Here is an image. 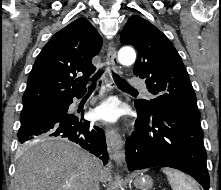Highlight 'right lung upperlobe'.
Returning <instances> with one entry per match:
<instances>
[{
    "mask_svg": "<svg viewBox=\"0 0 221 190\" xmlns=\"http://www.w3.org/2000/svg\"><path fill=\"white\" fill-rule=\"evenodd\" d=\"M102 44L101 36L85 18L57 32L35 60L22 98L24 109L83 94L96 70L91 60Z\"/></svg>",
    "mask_w": 221,
    "mask_h": 190,
    "instance_id": "1",
    "label": "right lung upper lobe"
}]
</instances>
